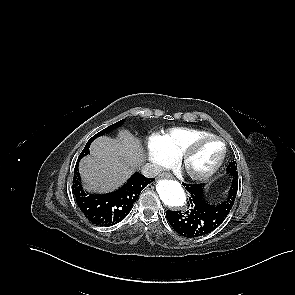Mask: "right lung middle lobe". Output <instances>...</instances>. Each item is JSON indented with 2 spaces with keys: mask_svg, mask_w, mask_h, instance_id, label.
I'll return each instance as SVG.
<instances>
[{
  "mask_svg": "<svg viewBox=\"0 0 295 295\" xmlns=\"http://www.w3.org/2000/svg\"><path fill=\"white\" fill-rule=\"evenodd\" d=\"M122 123H124V119H123V120H120L119 122L115 123V124L112 125V126L107 127L106 129L102 130L101 132H98L97 134H95V135H94V136H93V137L87 142V144H86L84 150H83L81 153L86 152L87 149L89 148L91 142H92L93 140H95L97 137H99V136H101V135H103V134H105V133L111 131V130L114 129L115 127H118V126L122 125Z\"/></svg>",
  "mask_w": 295,
  "mask_h": 295,
  "instance_id": "obj_1",
  "label": "right lung middle lobe"
}]
</instances>
